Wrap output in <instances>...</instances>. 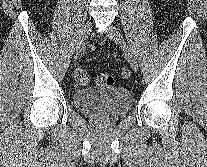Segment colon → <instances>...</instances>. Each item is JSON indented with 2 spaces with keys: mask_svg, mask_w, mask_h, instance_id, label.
Here are the masks:
<instances>
[{
  "mask_svg": "<svg viewBox=\"0 0 207 167\" xmlns=\"http://www.w3.org/2000/svg\"><path fill=\"white\" fill-rule=\"evenodd\" d=\"M120 75L123 79H129L131 77V72L129 69L123 68L120 72ZM74 79L79 85H86L90 81V76L85 69L78 68L74 72ZM95 83L101 87H108L113 85L114 79L109 74L101 73L95 77Z\"/></svg>",
  "mask_w": 207,
  "mask_h": 167,
  "instance_id": "obj_1",
  "label": "colon"
}]
</instances>
